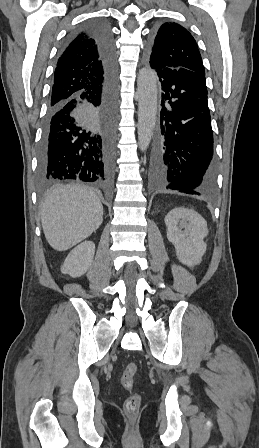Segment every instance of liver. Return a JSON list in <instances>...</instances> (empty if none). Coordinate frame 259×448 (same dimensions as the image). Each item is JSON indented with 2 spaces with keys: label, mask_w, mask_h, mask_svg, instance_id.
Listing matches in <instances>:
<instances>
[{
  "label": "liver",
  "mask_w": 259,
  "mask_h": 448,
  "mask_svg": "<svg viewBox=\"0 0 259 448\" xmlns=\"http://www.w3.org/2000/svg\"><path fill=\"white\" fill-rule=\"evenodd\" d=\"M41 220L48 244L64 252L98 230L103 222V206L91 188L68 184L55 188L45 198Z\"/></svg>",
  "instance_id": "6515ba94"
}]
</instances>
